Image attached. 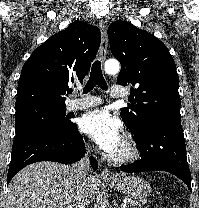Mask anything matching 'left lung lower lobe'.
I'll return each mask as SVG.
<instances>
[{
  "label": "left lung lower lobe",
  "mask_w": 199,
  "mask_h": 208,
  "mask_svg": "<svg viewBox=\"0 0 199 208\" xmlns=\"http://www.w3.org/2000/svg\"><path fill=\"white\" fill-rule=\"evenodd\" d=\"M136 144L141 159L121 166L122 171L164 170L179 177L191 190V173L186 158L181 119L168 118L149 123L143 136L136 139Z\"/></svg>",
  "instance_id": "left-lung-lower-lobe-1"
}]
</instances>
